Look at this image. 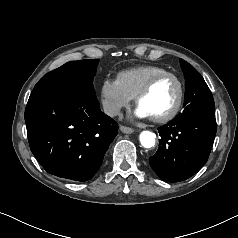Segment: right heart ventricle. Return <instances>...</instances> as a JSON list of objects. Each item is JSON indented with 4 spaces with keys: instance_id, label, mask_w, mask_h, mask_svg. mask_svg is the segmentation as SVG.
Instances as JSON below:
<instances>
[{
    "instance_id": "right-heart-ventricle-1",
    "label": "right heart ventricle",
    "mask_w": 238,
    "mask_h": 238,
    "mask_svg": "<svg viewBox=\"0 0 238 238\" xmlns=\"http://www.w3.org/2000/svg\"><path fill=\"white\" fill-rule=\"evenodd\" d=\"M166 72V69L156 65H141L121 71L117 81L124 92L134 98L143 85L154 75Z\"/></svg>"
}]
</instances>
